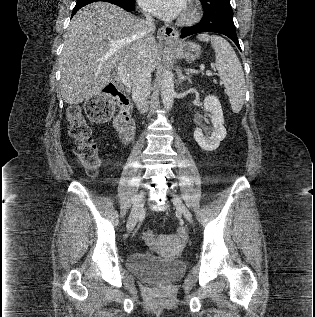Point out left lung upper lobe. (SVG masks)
I'll return each mask as SVG.
<instances>
[{
    "instance_id": "5c2ea615",
    "label": "left lung upper lobe",
    "mask_w": 315,
    "mask_h": 317,
    "mask_svg": "<svg viewBox=\"0 0 315 317\" xmlns=\"http://www.w3.org/2000/svg\"><path fill=\"white\" fill-rule=\"evenodd\" d=\"M204 8V17L217 19L224 16L233 17L230 0H200Z\"/></svg>"
}]
</instances>
